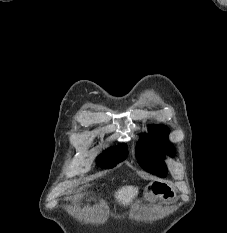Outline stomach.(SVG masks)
Listing matches in <instances>:
<instances>
[{
  "mask_svg": "<svg viewBox=\"0 0 227 233\" xmlns=\"http://www.w3.org/2000/svg\"><path fill=\"white\" fill-rule=\"evenodd\" d=\"M162 191V184L161 183H153L150 184L146 190H145V196L149 197L154 195L155 197H162L163 193H161Z\"/></svg>",
  "mask_w": 227,
  "mask_h": 233,
  "instance_id": "stomach-1",
  "label": "stomach"
}]
</instances>
